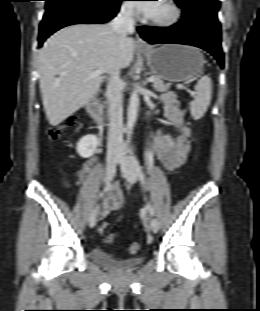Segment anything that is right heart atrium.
Listing matches in <instances>:
<instances>
[{
  "mask_svg": "<svg viewBox=\"0 0 260 311\" xmlns=\"http://www.w3.org/2000/svg\"><path fill=\"white\" fill-rule=\"evenodd\" d=\"M121 13H123L125 16L133 18L135 17V9L130 4H124L121 7Z\"/></svg>",
  "mask_w": 260,
  "mask_h": 311,
  "instance_id": "right-heart-atrium-1",
  "label": "right heart atrium"
}]
</instances>
